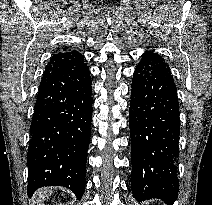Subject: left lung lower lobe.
<instances>
[{"label": "left lung lower lobe", "mask_w": 212, "mask_h": 205, "mask_svg": "<svg viewBox=\"0 0 212 205\" xmlns=\"http://www.w3.org/2000/svg\"><path fill=\"white\" fill-rule=\"evenodd\" d=\"M131 84L132 193L138 201L177 199L175 160L180 135L177 90L170 68L157 53L141 56Z\"/></svg>", "instance_id": "obj_1"}]
</instances>
